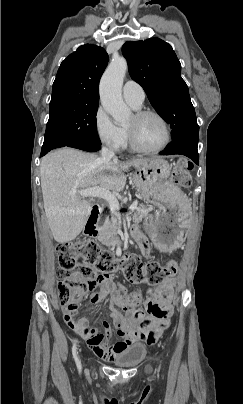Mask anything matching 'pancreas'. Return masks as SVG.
Segmentation results:
<instances>
[{
    "mask_svg": "<svg viewBox=\"0 0 243 404\" xmlns=\"http://www.w3.org/2000/svg\"><path fill=\"white\" fill-rule=\"evenodd\" d=\"M148 212H150L147 206L144 204H139L136 212L133 214V220H135L136 224H139L144 218L147 216ZM120 214L119 212H115V214H111V222H105L102 228H99L98 232V240L102 242V244H115L117 238V230H118V218ZM109 221V220H108Z\"/></svg>",
    "mask_w": 243,
    "mask_h": 404,
    "instance_id": "pancreas-1",
    "label": "pancreas"
}]
</instances>
